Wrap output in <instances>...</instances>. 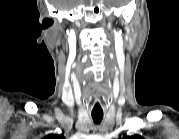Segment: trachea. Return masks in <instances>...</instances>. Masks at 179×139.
<instances>
[{
  "label": "trachea",
  "mask_w": 179,
  "mask_h": 139,
  "mask_svg": "<svg viewBox=\"0 0 179 139\" xmlns=\"http://www.w3.org/2000/svg\"><path fill=\"white\" fill-rule=\"evenodd\" d=\"M91 116H92L94 123L99 124L103 119V112L102 111H98V112L93 111L91 113Z\"/></svg>",
  "instance_id": "trachea-1"
}]
</instances>
